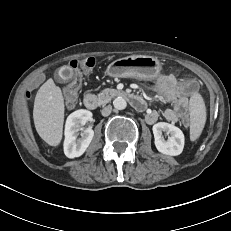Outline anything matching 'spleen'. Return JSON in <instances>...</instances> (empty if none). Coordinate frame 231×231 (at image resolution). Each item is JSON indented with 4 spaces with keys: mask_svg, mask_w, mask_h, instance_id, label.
<instances>
[{
    "mask_svg": "<svg viewBox=\"0 0 231 231\" xmlns=\"http://www.w3.org/2000/svg\"><path fill=\"white\" fill-rule=\"evenodd\" d=\"M190 138L196 140L205 125L206 108L202 97L199 94H194L190 99Z\"/></svg>",
    "mask_w": 231,
    "mask_h": 231,
    "instance_id": "3e777b00",
    "label": "spleen"
}]
</instances>
